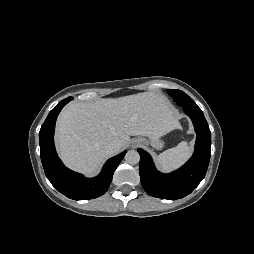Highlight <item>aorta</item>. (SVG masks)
Masks as SVG:
<instances>
[{
  "label": "aorta",
  "mask_w": 254,
  "mask_h": 254,
  "mask_svg": "<svg viewBox=\"0 0 254 254\" xmlns=\"http://www.w3.org/2000/svg\"><path fill=\"white\" fill-rule=\"evenodd\" d=\"M125 160L129 164H137L140 161V155L136 150H130L125 155Z\"/></svg>",
  "instance_id": "762f6f07"
}]
</instances>
